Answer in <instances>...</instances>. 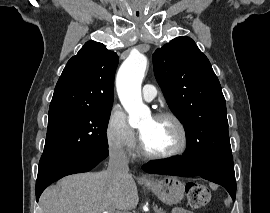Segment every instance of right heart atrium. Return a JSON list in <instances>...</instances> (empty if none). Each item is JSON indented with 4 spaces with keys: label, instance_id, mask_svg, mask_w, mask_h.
<instances>
[{
    "label": "right heart atrium",
    "instance_id": "right-heart-atrium-1",
    "mask_svg": "<svg viewBox=\"0 0 270 213\" xmlns=\"http://www.w3.org/2000/svg\"><path fill=\"white\" fill-rule=\"evenodd\" d=\"M105 137L111 154L124 159L134 154L136 150L134 132L128 124L126 114L119 107H113L111 110Z\"/></svg>",
    "mask_w": 270,
    "mask_h": 213
}]
</instances>
